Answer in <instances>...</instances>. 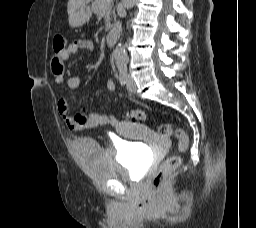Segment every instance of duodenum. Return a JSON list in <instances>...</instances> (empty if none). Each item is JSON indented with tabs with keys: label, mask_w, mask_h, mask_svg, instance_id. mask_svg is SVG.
I'll return each mask as SVG.
<instances>
[{
	"label": "duodenum",
	"mask_w": 256,
	"mask_h": 228,
	"mask_svg": "<svg viewBox=\"0 0 256 228\" xmlns=\"http://www.w3.org/2000/svg\"><path fill=\"white\" fill-rule=\"evenodd\" d=\"M120 31H121L120 27L116 26L108 32L105 39L106 44L108 46H113L117 42L120 35Z\"/></svg>",
	"instance_id": "1"
}]
</instances>
